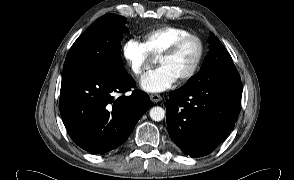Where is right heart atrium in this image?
Listing matches in <instances>:
<instances>
[{"label":"right heart atrium","instance_id":"1","mask_svg":"<svg viewBox=\"0 0 294 180\" xmlns=\"http://www.w3.org/2000/svg\"><path fill=\"white\" fill-rule=\"evenodd\" d=\"M121 54L128 68L138 77L147 72L154 62V57L135 38H130L124 42Z\"/></svg>","mask_w":294,"mask_h":180}]
</instances>
